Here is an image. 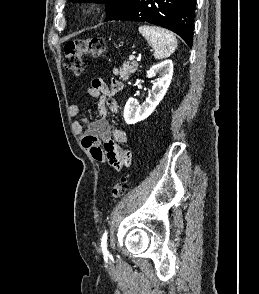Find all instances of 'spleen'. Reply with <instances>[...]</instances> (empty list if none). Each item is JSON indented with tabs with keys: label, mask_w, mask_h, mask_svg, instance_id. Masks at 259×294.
<instances>
[{
	"label": "spleen",
	"mask_w": 259,
	"mask_h": 294,
	"mask_svg": "<svg viewBox=\"0 0 259 294\" xmlns=\"http://www.w3.org/2000/svg\"><path fill=\"white\" fill-rule=\"evenodd\" d=\"M139 32L153 48L155 59L167 58L173 54L177 48L176 37L172 32L166 29L143 25L139 27Z\"/></svg>",
	"instance_id": "spleen-1"
}]
</instances>
